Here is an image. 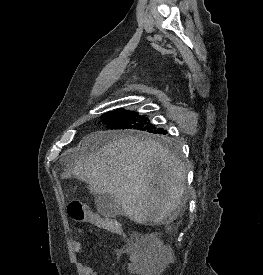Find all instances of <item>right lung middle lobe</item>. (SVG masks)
Masks as SVG:
<instances>
[{"mask_svg":"<svg viewBox=\"0 0 263 275\" xmlns=\"http://www.w3.org/2000/svg\"><path fill=\"white\" fill-rule=\"evenodd\" d=\"M102 122L110 129L131 130L138 133L142 139L157 142L173 143V140L162 128H157L149 122L148 117L123 108L102 115Z\"/></svg>","mask_w":263,"mask_h":275,"instance_id":"obj_1","label":"right lung middle lobe"}]
</instances>
